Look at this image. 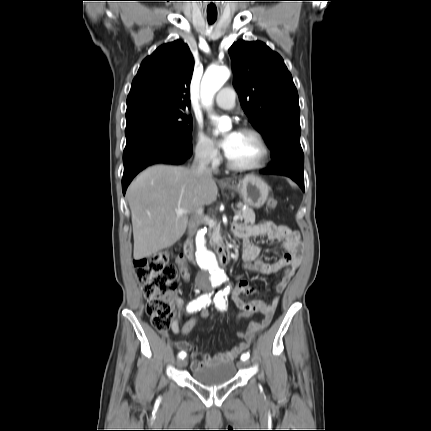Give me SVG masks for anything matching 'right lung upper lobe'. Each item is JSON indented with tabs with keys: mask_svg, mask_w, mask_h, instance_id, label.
Segmentation results:
<instances>
[{
	"mask_svg": "<svg viewBox=\"0 0 431 431\" xmlns=\"http://www.w3.org/2000/svg\"><path fill=\"white\" fill-rule=\"evenodd\" d=\"M193 69V56L181 40L158 47L142 61L133 79L126 119L151 112H184L190 107Z\"/></svg>",
	"mask_w": 431,
	"mask_h": 431,
	"instance_id": "obj_1",
	"label": "right lung upper lobe"
}]
</instances>
